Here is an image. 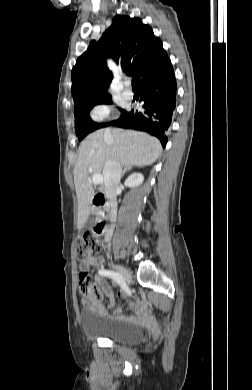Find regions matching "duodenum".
Wrapping results in <instances>:
<instances>
[{
    "instance_id": "duodenum-1",
    "label": "duodenum",
    "mask_w": 252,
    "mask_h": 390,
    "mask_svg": "<svg viewBox=\"0 0 252 390\" xmlns=\"http://www.w3.org/2000/svg\"><path fill=\"white\" fill-rule=\"evenodd\" d=\"M93 206L95 208H104L105 210L103 218L98 220L94 229L98 234L106 235L113 220V214L111 208L108 206L107 198L104 193H95L93 197Z\"/></svg>"
}]
</instances>
